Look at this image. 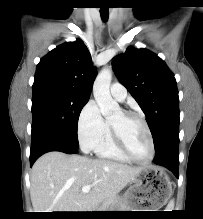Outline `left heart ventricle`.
I'll return each instance as SVG.
<instances>
[{
  "mask_svg": "<svg viewBox=\"0 0 203 219\" xmlns=\"http://www.w3.org/2000/svg\"><path fill=\"white\" fill-rule=\"evenodd\" d=\"M111 122L120 129L131 154L139 160H147L151 149L142 122L136 117H125L121 111L112 117Z\"/></svg>",
  "mask_w": 203,
  "mask_h": 219,
  "instance_id": "1",
  "label": "left heart ventricle"
}]
</instances>
